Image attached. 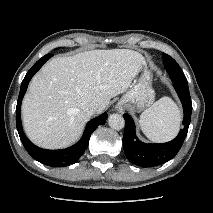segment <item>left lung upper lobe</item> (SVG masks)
<instances>
[{
    "label": "left lung upper lobe",
    "instance_id": "obj_1",
    "mask_svg": "<svg viewBox=\"0 0 213 213\" xmlns=\"http://www.w3.org/2000/svg\"><path fill=\"white\" fill-rule=\"evenodd\" d=\"M164 66L174 84L188 86L186 77L177 62L169 55L163 53Z\"/></svg>",
    "mask_w": 213,
    "mask_h": 213
}]
</instances>
